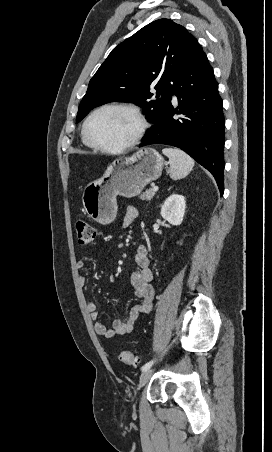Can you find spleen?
Segmentation results:
<instances>
[{"mask_svg":"<svg viewBox=\"0 0 272 452\" xmlns=\"http://www.w3.org/2000/svg\"><path fill=\"white\" fill-rule=\"evenodd\" d=\"M162 152L169 158L171 179H182L191 172L194 160L184 151L177 148H164Z\"/></svg>","mask_w":272,"mask_h":452,"instance_id":"obj_1","label":"spleen"}]
</instances>
